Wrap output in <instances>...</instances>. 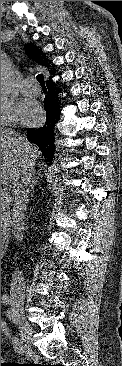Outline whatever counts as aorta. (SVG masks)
Listing matches in <instances>:
<instances>
[{"mask_svg":"<svg viewBox=\"0 0 122 366\" xmlns=\"http://www.w3.org/2000/svg\"><path fill=\"white\" fill-rule=\"evenodd\" d=\"M12 86L10 69L7 62L1 63V97L9 94Z\"/></svg>","mask_w":122,"mask_h":366,"instance_id":"aorta-1","label":"aorta"}]
</instances>
